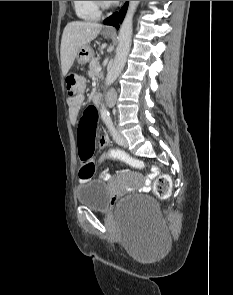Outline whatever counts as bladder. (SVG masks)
Here are the masks:
<instances>
[{"instance_id": "31cf9c89", "label": "bladder", "mask_w": 233, "mask_h": 295, "mask_svg": "<svg viewBox=\"0 0 233 295\" xmlns=\"http://www.w3.org/2000/svg\"><path fill=\"white\" fill-rule=\"evenodd\" d=\"M76 199L81 206L97 212H107L110 207V192L102 180L94 179L76 188ZM124 214L138 213L147 220L159 217L157 202L148 195H132L120 203Z\"/></svg>"}]
</instances>
